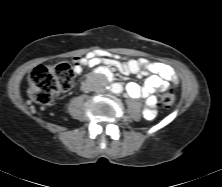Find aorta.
<instances>
[{
	"mask_svg": "<svg viewBox=\"0 0 222 187\" xmlns=\"http://www.w3.org/2000/svg\"><path fill=\"white\" fill-rule=\"evenodd\" d=\"M111 91L113 93H121L123 91V87L120 83H114L111 86Z\"/></svg>",
	"mask_w": 222,
	"mask_h": 187,
	"instance_id": "obj_1",
	"label": "aorta"
}]
</instances>
